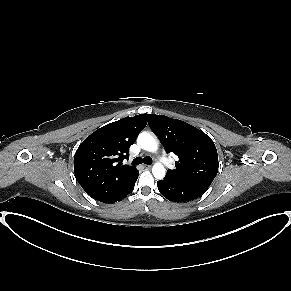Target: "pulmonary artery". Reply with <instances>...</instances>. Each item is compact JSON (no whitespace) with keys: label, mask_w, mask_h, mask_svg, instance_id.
Segmentation results:
<instances>
[{"label":"pulmonary artery","mask_w":291,"mask_h":291,"mask_svg":"<svg viewBox=\"0 0 291 291\" xmlns=\"http://www.w3.org/2000/svg\"><path fill=\"white\" fill-rule=\"evenodd\" d=\"M161 161L165 164V165H168V162L165 158H161Z\"/></svg>","instance_id":"pulmonary-artery-1"}]
</instances>
